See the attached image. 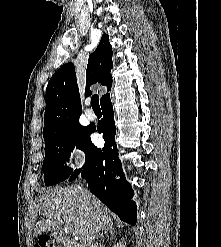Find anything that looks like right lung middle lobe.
<instances>
[{
	"instance_id": "obj_1",
	"label": "right lung middle lobe",
	"mask_w": 221,
	"mask_h": 247,
	"mask_svg": "<svg viewBox=\"0 0 221 247\" xmlns=\"http://www.w3.org/2000/svg\"><path fill=\"white\" fill-rule=\"evenodd\" d=\"M44 140L45 159L42 170L44 182L50 186L65 180L73 172L72 168L64 164L69 161L70 153L75 146L86 152L90 140L89 127L76 122Z\"/></svg>"
}]
</instances>
